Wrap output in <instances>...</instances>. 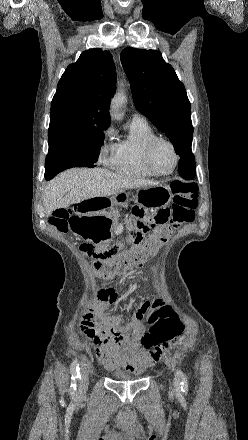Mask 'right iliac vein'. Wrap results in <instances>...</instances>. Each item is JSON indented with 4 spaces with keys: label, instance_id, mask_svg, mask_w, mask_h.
Returning <instances> with one entry per match:
<instances>
[{
    "label": "right iliac vein",
    "instance_id": "obj_1",
    "mask_svg": "<svg viewBox=\"0 0 248 440\" xmlns=\"http://www.w3.org/2000/svg\"><path fill=\"white\" fill-rule=\"evenodd\" d=\"M89 381V368L86 365L82 366L81 379L79 384V394L83 395L86 392Z\"/></svg>",
    "mask_w": 248,
    "mask_h": 440
}]
</instances>
